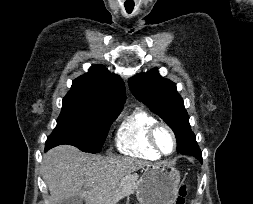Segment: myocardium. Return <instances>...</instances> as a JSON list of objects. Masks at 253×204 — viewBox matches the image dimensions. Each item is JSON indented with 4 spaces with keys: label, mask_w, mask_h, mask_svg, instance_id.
Masks as SVG:
<instances>
[{
    "label": "myocardium",
    "mask_w": 253,
    "mask_h": 204,
    "mask_svg": "<svg viewBox=\"0 0 253 204\" xmlns=\"http://www.w3.org/2000/svg\"><path fill=\"white\" fill-rule=\"evenodd\" d=\"M159 128H165L169 134L172 137L173 140V149L170 153H164L161 148L158 146L157 141H156V132ZM148 141L150 146L160 155V156H171L173 155L176 150H177V137L175 132L173 131V129L165 122H161V121H156L155 123H153L149 130H148Z\"/></svg>",
    "instance_id": "f54148a6"
}]
</instances>
